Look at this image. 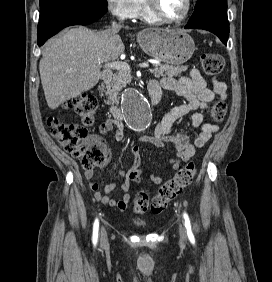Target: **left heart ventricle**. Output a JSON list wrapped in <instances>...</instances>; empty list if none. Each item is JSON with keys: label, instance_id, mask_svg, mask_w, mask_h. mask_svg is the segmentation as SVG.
Returning a JSON list of instances; mask_svg holds the SVG:
<instances>
[{"label": "left heart ventricle", "instance_id": "b2bd125f", "mask_svg": "<svg viewBox=\"0 0 272 282\" xmlns=\"http://www.w3.org/2000/svg\"><path fill=\"white\" fill-rule=\"evenodd\" d=\"M160 10L170 18H177L184 14L186 10L185 0H156Z\"/></svg>", "mask_w": 272, "mask_h": 282}]
</instances>
